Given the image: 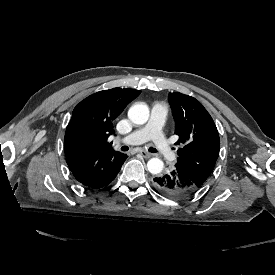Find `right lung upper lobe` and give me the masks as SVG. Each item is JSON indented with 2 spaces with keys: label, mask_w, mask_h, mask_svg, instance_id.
<instances>
[{
  "label": "right lung upper lobe",
  "mask_w": 275,
  "mask_h": 275,
  "mask_svg": "<svg viewBox=\"0 0 275 275\" xmlns=\"http://www.w3.org/2000/svg\"><path fill=\"white\" fill-rule=\"evenodd\" d=\"M141 91L113 88L99 91L81 101L73 110L65 133V155L112 150L108 137L113 121Z\"/></svg>",
  "instance_id": "1"
}]
</instances>
